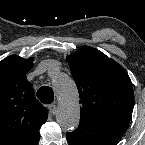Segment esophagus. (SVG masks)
<instances>
[{
  "instance_id": "1",
  "label": "esophagus",
  "mask_w": 145,
  "mask_h": 145,
  "mask_svg": "<svg viewBox=\"0 0 145 145\" xmlns=\"http://www.w3.org/2000/svg\"><path fill=\"white\" fill-rule=\"evenodd\" d=\"M48 109L50 110V112L54 115L57 112V106L55 103H52L48 106Z\"/></svg>"
}]
</instances>
